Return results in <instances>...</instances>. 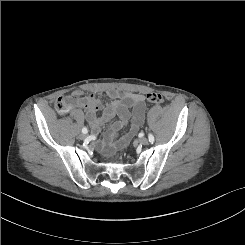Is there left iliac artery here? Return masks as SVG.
<instances>
[{
  "instance_id": "1",
  "label": "left iliac artery",
  "mask_w": 245,
  "mask_h": 245,
  "mask_svg": "<svg viewBox=\"0 0 245 245\" xmlns=\"http://www.w3.org/2000/svg\"><path fill=\"white\" fill-rule=\"evenodd\" d=\"M148 138L151 143L154 142V136L151 133L148 134Z\"/></svg>"
}]
</instances>
